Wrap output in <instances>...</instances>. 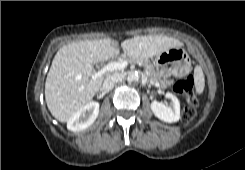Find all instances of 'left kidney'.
Returning a JSON list of instances; mask_svg holds the SVG:
<instances>
[{
	"label": "left kidney",
	"mask_w": 245,
	"mask_h": 170,
	"mask_svg": "<svg viewBox=\"0 0 245 170\" xmlns=\"http://www.w3.org/2000/svg\"><path fill=\"white\" fill-rule=\"evenodd\" d=\"M166 97L171 100L170 106H166L162 102L153 101L151 103V110L157 118L164 122H177L180 119V102L178 98L170 92L166 93Z\"/></svg>",
	"instance_id": "obj_1"
}]
</instances>
